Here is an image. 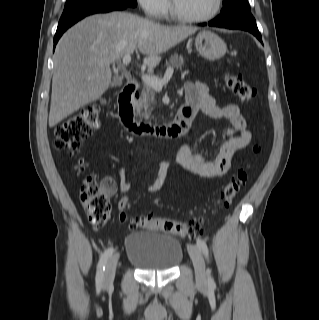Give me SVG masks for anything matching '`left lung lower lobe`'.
<instances>
[{"mask_svg": "<svg viewBox=\"0 0 319 320\" xmlns=\"http://www.w3.org/2000/svg\"><path fill=\"white\" fill-rule=\"evenodd\" d=\"M205 26L207 23L199 24ZM209 26L222 27L228 29H240L249 31L261 40V34L257 28L256 21L251 13L233 12L225 16H218L214 20L208 22Z\"/></svg>", "mask_w": 319, "mask_h": 320, "instance_id": "left-lung-lower-lobe-1", "label": "left lung lower lobe"}]
</instances>
